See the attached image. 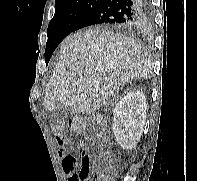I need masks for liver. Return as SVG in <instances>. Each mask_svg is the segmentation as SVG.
<instances>
[{
    "mask_svg": "<svg viewBox=\"0 0 197 181\" xmlns=\"http://www.w3.org/2000/svg\"><path fill=\"white\" fill-rule=\"evenodd\" d=\"M152 70L150 56L134 40L99 28L78 31L61 45L45 107L94 113L120 86L130 79H147Z\"/></svg>",
    "mask_w": 197,
    "mask_h": 181,
    "instance_id": "obj_1",
    "label": "liver"
}]
</instances>
